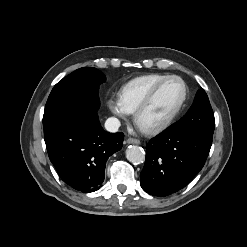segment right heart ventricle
<instances>
[{
  "instance_id": "e07e8e85",
  "label": "right heart ventricle",
  "mask_w": 247,
  "mask_h": 247,
  "mask_svg": "<svg viewBox=\"0 0 247 247\" xmlns=\"http://www.w3.org/2000/svg\"><path fill=\"white\" fill-rule=\"evenodd\" d=\"M168 75L148 74L125 83L119 91V100L127 113H134L151 89Z\"/></svg>"
}]
</instances>
